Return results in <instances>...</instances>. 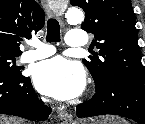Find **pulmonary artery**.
<instances>
[{
  "label": "pulmonary artery",
  "instance_id": "e3ab8cb5",
  "mask_svg": "<svg viewBox=\"0 0 145 124\" xmlns=\"http://www.w3.org/2000/svg\"><path fill=\"white\" fill-rule=\"evenodd\" d=\"M88 43L87 32L81 29H71L67 37V45L69 47H86ZM33 50L24 52L20 61L23 63L33 62L52 55L55 49L48 44L39 41L32 42Z\"/></svg>",
  "mask_w": 145,
  "mask_h": 124
}]
</instances>
